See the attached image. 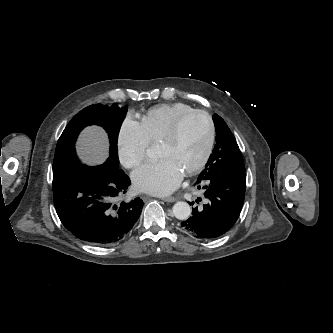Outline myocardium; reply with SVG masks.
Here are the masks:
<instances>
[{"label": "myocardium", "instance_id": "myocardium-1", "mask_svg": "<svg viewBox=\"0 0 333 333\" xmlns=\"http://www.w3.org/2000/svg\"><path fill=\"white\" fill-rule=\"evenodd\" d=\"M193 115H201L206 119V121L208 123L209 135H208V141H207V145H206L203 156L194 166H192L191 168L187 169L184 172L185 175H192V174H195V173L199 172L200 170H202L212 155L214 145H215V139H216V129H215V124H214L213 118L210 115V113L203 109H193V110H190V111L180 115L172 123V125L170 126L168 131L159 141L160 143H170V142L175 141L179 135V132H180V129H181L183 123Z\"/></svg>", "mask_w": 333, "mask_h": 333}]
</instances>
